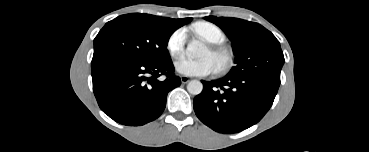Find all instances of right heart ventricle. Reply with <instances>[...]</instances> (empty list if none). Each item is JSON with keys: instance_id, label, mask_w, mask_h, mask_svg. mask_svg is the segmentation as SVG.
I'll return each instance as SVG.
<instances>
[{"instance_id": "1", "label": "right heart ventricle", "mask_w": 369, "mask_h": 152, "mask_svg": "<svg viewBox=\"0 0 369 152\" xmlns=\"http://www.w3.org/2000/svg\"><path fill=\"white\" fill-rule=\"evenodd\" d=\"M195 33L210 43H220L224 35L219 27L210 22H199L193 26Z\"/></svg>"}]
</instances>
